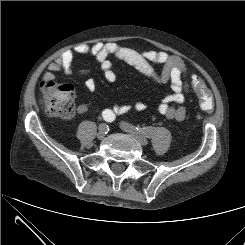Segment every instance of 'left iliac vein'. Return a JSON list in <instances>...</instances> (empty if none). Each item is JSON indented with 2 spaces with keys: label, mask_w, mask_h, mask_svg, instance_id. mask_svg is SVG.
I'll use <instances>...</instances> for the list:
<instances>
[{
  "label": "left iliac vein",
  "mask_w": 245,
  "mask_h": 245,
  "mask_svg": "<svg viewBox=\"0 0 245 245\" xmlns=\"http://www.w3.org/2000/svg\"><path fill=\"white\" fill-rule=\"evenodd\" d=\"M122 128L124 131L133 135L139 141L140 144H142L144 146L148 144L147 138L145 136L141 135L140 133H138V131H136V129L133 126L124 124V125H122Z\"/></svg>",
  "instance_id": "4c4485c4"
}]
</instances>
